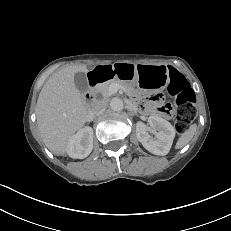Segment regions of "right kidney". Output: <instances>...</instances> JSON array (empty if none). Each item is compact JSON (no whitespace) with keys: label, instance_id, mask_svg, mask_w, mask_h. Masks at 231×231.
Listing matches in <instances>:
<instances>
[{"label":"right kidney","instance_id":"right-kidney-1","mask_svg":"<svg viewBox=\"0 0 231 231\" xmlns=\"http://www.w3.org/2000/svg\"><path fill=\"white\" fill-rule=\"evenodd\" d=\"M93 149V130L91 127L80 129L68 142L67 154L71 158H86Z\"/></svg>","mask_w":231,"mask_h":231}]
</instances>
